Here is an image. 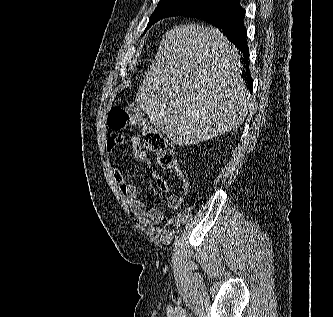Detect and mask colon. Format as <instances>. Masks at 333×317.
<instances>
[{"mask_svg":"<svg viewBox=\"0 0 333 317\" xmlns=\"http://www.w3.org/2000/svg\"><path fill=\"white\" fill-rule=\"evenodd\" d=\"M108 127L115 132L123 131L130 127H140L144 133V146L157 155L158 162L167 169H174L183 186H188L186 176L179 170L173 148L159 132L146 125L141 117L128 112L126 109L115 106L108 114Z\"/></svg>","mask_w":333,"mask_h":317,"instance_id":"1","label":"colon"}]
</instances>
